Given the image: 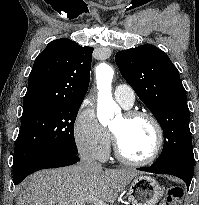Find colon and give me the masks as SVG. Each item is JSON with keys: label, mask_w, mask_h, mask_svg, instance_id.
I'll return each instance as SVG.
<instances>
[{"label": "colon", "mask_w": 199, "mask_h": 205, "mask_svg": "<svg viewBox=\"0 0 199 205\" xmlns=\"http://www.w3.org/2000/svg\"><path fill=\"white\" fill-rule=\"evenodd\" d=\"M183 193V188L180 186L170 187L161 205H181Z\"/></svg>", "instance_id": "5ec220e1"}]
</instances>
